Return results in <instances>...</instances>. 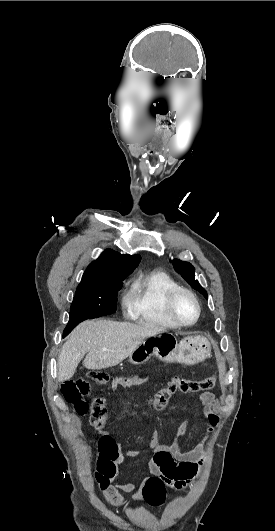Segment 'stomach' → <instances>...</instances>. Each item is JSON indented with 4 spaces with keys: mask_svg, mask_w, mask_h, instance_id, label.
Returning a JSON list of instances; mask_svg holds the SVG:
<instances>
[{
    "mask_svg": "<svg viewBox=\"0 0 275 531\" xmlns=\"http://www.w3.org/2000/svg\"><path fill=\"white\" fill-rule=\"evenodd\" d=\"M211 355V345L206 337H185L178 343L172 333H159L144 339L131 355L129 363L143 365L151 357H157L165 363H181V365H198Z\"/></svg>",
    "mask_w": 275,
    "mask_h": 531,
    "instance_id": "0dacf381",
    "label": "stomach"
}]
</instances>
